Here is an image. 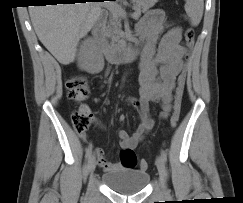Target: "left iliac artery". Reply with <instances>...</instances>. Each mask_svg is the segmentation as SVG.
Listing matches in <instances>:
<instances>
[{"mask_svg":"<svg viewBox=\"0 0 243 203\" xmlns=\"http://www.w3.org/2000/svg\"><path fill=\"white\" fill-rule=\"evenodd\" d=\"M161 157H162L164 162L167 161V154H166V152L164 150H161Z\"/></svg>","mask_w":243,"mask_h":203,"instance_id":"obj_1","label":"left iliac artery"}]
</instances>
